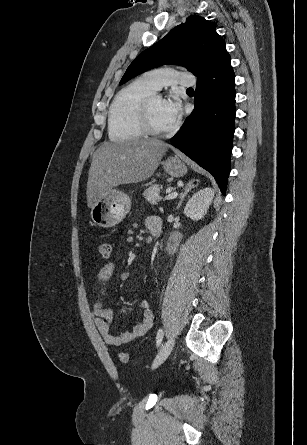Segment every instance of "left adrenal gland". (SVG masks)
<instances>
[{
    "mask_svg": "<svg viewBox=\"0 0 307 445\" xmlns=\"http://www.w3.org/2000/svg\"><path fill=\"white\" fill-rule=\"evenodd\" d=\"M193 182H195V180H189V182H187L186 186H184L183 190L184 192H180V200L178 202V206H176V208H179V206H181L187 192H189V190H191V188H195V186H197V184H193Z\"/></svg>",
    "mask_w": 307,
    "mask_h": 445,
    "instance_id": "1",
    "label": "left adrenal gland"
}]
</instances>
